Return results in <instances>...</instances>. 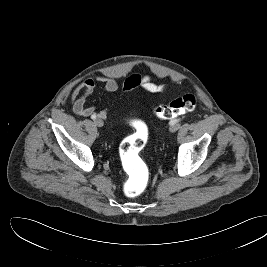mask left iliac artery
<instances>
[{
    "label": "left iliac artery",
    "mask_w": 267,
    "mask_h": 267,
    "mask_svg": "<svg viewBox=\"0 0 267 267\" xmlns=\"http://www.w3.org/2000/svg\"><path fill=\"white\" fill-rule=\"evenodd\" d=\"M180 121V119H173L170 121V125L178 123Z\"/></svg>",
    "instance_id": "44dca946"
}]
</instances>
